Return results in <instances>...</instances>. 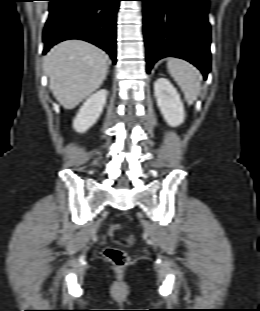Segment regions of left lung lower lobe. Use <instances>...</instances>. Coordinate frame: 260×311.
I'll list each match as a JSON object with an SVG mask.
<instances>
[{"instance_id": "obj_1", "label": "left lung lower lobe", "mask_w": 260, "mask_h": 311, "mask_svg": "<svg viewBox=\"0 0 260 311\" xmlns=\"http://www.w3.org/2000/svg\"><path fill=\"white\" fill-rule=\"evenodd\" d=\"M143 1L147 73L164 57L185 59L203 73L210 71L208 0Z\"/></svg>"}]
</instances>
